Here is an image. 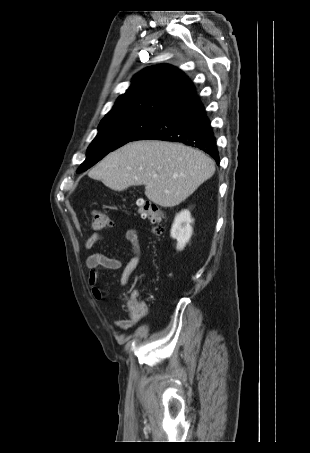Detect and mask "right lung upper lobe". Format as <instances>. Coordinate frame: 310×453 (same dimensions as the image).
<instances>
[{
    "label": "right lung upper lobe",
    "instance_id": "1",
    "mask_svg": "<svg viewBox=\"0 0 310 453\" xmlns=\"http://www.w3.org/2000/svg\"><path fill=\"white\" fill-rule=\"evenodd\" d=\"M195 91L193 82L168 64L148 67L134 76L105 117L122 114L161 115L172 104Z\"/></svg>",
    "mask_w": 310,
    "mask_h": 453
}]
</instances>
